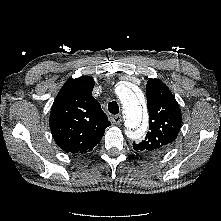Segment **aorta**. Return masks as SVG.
Here are the masks:
<instances>
[{
    "label": "aorta",
    "instance_id": "obj_1",
    "mask_svg": "<svg viewBox=\"0 0 221 221\" xmlns=\"http://www.w3.org/2000/svg\"><path fill=\"white\" fill-rule=\"evenodd\" d=\"M118 98L123 108L125 129L131 139L143 136L148 125V113L137 95L128 87L123 86L118 92Z\"/></svg>",
    "mask_w": 221,
    "mask_h": 221
}]
</instances>
